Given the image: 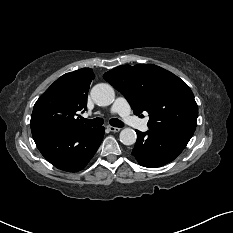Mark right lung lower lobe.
I'll return each mask as SVG.
<instances>
[{
	"label": "right lung lower lobe",
	"instance_id": "obj_1",
	"mask_svg": "<svg viewBox=\"0 0 233 233\" xmlns=\"http://www.w3.org/2000/svg\"><path fill=\"white\" fill-rule=\"evenodd\" d=\"M104 132V127L69 133L41 132L33 134V139L41 154L56 168L78 172L96 153Z\"/></svg>",
	"mask_w": 233,
	"mask_h": 233
}]
</instances>
